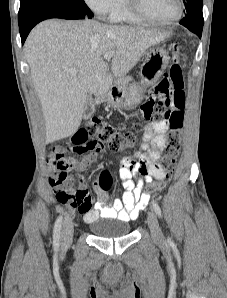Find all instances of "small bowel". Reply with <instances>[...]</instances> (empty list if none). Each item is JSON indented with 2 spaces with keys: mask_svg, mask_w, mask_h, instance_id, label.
I'll return each mask as SVG.
<instances>
[{
  "mask_svg": "<svg viewBox=\"0 0 227 298\" xmlns=\"http://www.w3.org/2000/svg\"><path fill=\"white\" fill-rule=\"evenodd\" d=\"M169 72H164L162 78L155 82V92H164V95H155V98H146V103H171V88ZM159 107L155 104H141V115H156ZM163 115H170V110H163ZM146 127L143 134L141 148L134 157L123 158L120 162L119 177L122 180L124 191L120 197L111 198L108 191L99 189L98 199L93 205L90 192L84 182L76 187L68 177L70 170H83L94 160L95 151H105L108 142H83L82 146H51L47 154L52 168L51 186L53 190L71 189L81 193L79 203L70 205L77 209L86 223L98 218H112L122 221H132L138 218L140 212L148 204L150 195L143 192L144 183L152 179L161 178L165 170L158 161L161 151L167 147V131L169 124L167 117H161V123L153 124L156 117H146ZM71 155H84L80 161H72Z\"/></svg>",
  "mask_w": 227,
  "mask_h": 298,
  "instance_id": "c3829d8e",
  "label": "small bowel"
}]
</instances>
